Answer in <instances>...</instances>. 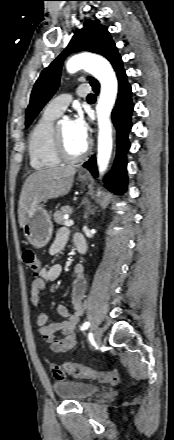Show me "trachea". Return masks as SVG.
Listing matches in <instances>:
<instances>
[{"mask_svg":"<svg viewBox=\"0 0 174 440\" xmlns=\"http://www.w3.org/2000/svg\"><path fill=\"white\" fill-rule=\"evenodd\" d=\"M96 98V96L94 94H89L87 99L88 100H94Z\"/></svg>","mask_w":174,"mask_h":440,"instance_id":"obj_1","label":"trachea"}]
</instances>
